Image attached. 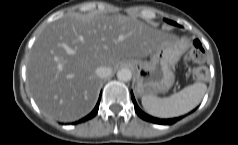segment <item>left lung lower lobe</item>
Instances as JSON below:
<instances>
[{
	"label": "left lung lower lobe",
	"instance_id": "obj_1",
	"mask_svg": "<svg viewBox=\"0 0 238 145\" xmlns=\"http://www.w3.org/2000/svg\"><path fill=\"white\" fill-rule=\"evenodd\" d=\"M131 97H132V101L134 103V107H135V111L138 114L139 117H141L143 120L149 121V122H153L156 124H163V125H171L175 122H177L178 120H180L182 117L179 118H172V119H158V118H154L150 115H147L146 113H144L137 105L134 95L131 92Z\"/></svg>",
	"mask_w": 238,
	"mask_h": 145
}]
</instances>
